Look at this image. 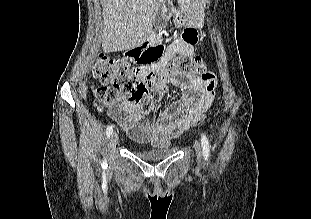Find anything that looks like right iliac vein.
Segmentation results:
<instances>
[{"label":"right iliac vein","mask_w":311,"mask_h":219,"mask_svg":"<svg viewBox=\"0 0 311 219\" xmlns=\"http://www.w3.org/2000/svg\"><path fill=\"white\" fill-rule=\"evenodd\" d=\"M119 137L116 132L112 133L110 137V142H109V152H110V160L114 161L115 159V152H116V146L118 144Z\"/></svg>","instance_id":"1"}]
</instances>
